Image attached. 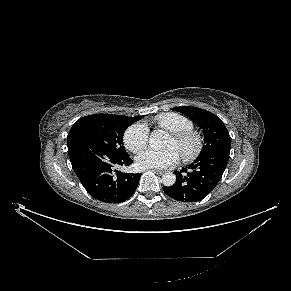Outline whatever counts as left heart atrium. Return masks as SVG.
Segmentation results:
<instances>
[{"instance_id":"left-heart-atrium-1","label":"left heart atrium","mask_w":291,"mask_h":291,"mask_svg":"<svg viewBox=\"0 0 291 291\" xmlns=\"http://www.w3.org/2000/svg\"><path fill=\"white\" fill-rule=\"evenodd\" d=\"M180 153L175 147L164 150L145 149L138 154L136 162L141 168H167L176 164Z\"/></svg>"}]
</instances>
